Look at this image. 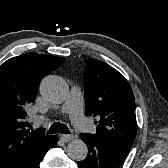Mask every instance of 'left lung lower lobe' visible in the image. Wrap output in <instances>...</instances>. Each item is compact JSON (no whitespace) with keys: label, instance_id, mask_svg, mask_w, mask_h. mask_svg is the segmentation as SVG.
Segmentation results:
<instances>
[{"label":"left lung lower lobe","instance_id":"obj_1","mask_svg":"<svg viewBox=\"0 0 168 168\" xmlns=\"http://www.w3.org/2000/svg\"><path fill=\"white\" fill-rule=\"evenodd\" d=\"M88 146V156L78 162L79 168H119L127 151L92 134H80Z\"/></svg>","mask_w":168,"mask_h":168}]
</instances>
